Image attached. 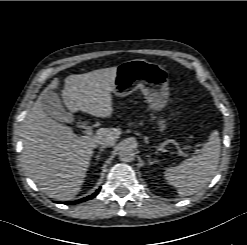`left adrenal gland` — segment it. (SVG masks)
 Masks as SVG:
<instances>
[{
  "instance_id": "left-adrenal-gland-1",
  "label": "left adrenal gland",
  "mask_w": 247,
  "mask_h": 245,
  "mask_svg": "<svg viewBox=\"0 0 247 245\" xmlns=\"http://www.w3.org/2000/svg\"><path fill=\"white\" fill-rule=\"evenodd\" d=\"M146 156L148 157V163H149V165H152V164L158 162L157 160H152L151 159V156L149 154H147Z\"/></svg>"
}]
</instances>
